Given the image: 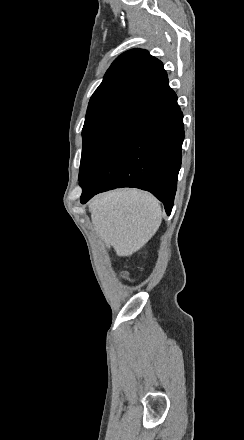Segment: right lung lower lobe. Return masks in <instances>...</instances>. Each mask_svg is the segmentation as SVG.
Listing matches in <instances>:
<instances>
[{"instance_id":"98d812e1","label":"right lung lower lobe","mask_w":244,"mask_h":440,"mask_svg":"<svg viewBox=\"0 0 244 440\" xmlns=\"http://www.w3.org/2000/svg\"><path fill=\"white\" fill-rule=\"evenodd\" d=\"M183 114L168 81L142 97L114 126L80 179L81 203L120 187L151 192L169 215L181 167Z\"/></svg>"}]
</instances>
